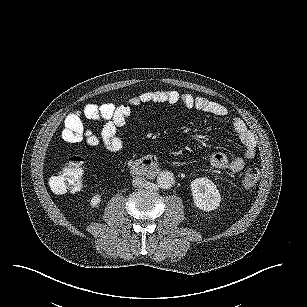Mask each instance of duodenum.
Returning a JSON list of instances; mask_svg holds the SVG:
<instances>
[{"mask_svg":"<svg viewBox=\"0 0 307 307\" xmlns=\"http://www.w3.org/2000/svg\"><path fill=\"white\" fill-rule=\"evenodd\" d=\"M130 171L134 175L154 177L159 172V164L155 157L149 156L135 160L131 164Z\"/></svg>","mask_w":307,"mask_h":307,"instance_id":"duodenum-1","label":"duodenum"}]
</instances>
